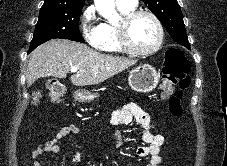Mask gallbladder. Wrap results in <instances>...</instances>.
<instances>
[{
    "instance_id": "bac80fb5",
    "label": "gallbladder",
    "mask_w": 227,
    "mask_h": 166,
    "mask_svg": "<svg viewBox=\"0 0 227 166\" xmlns=\"http://www.w3.org/2000/svg\"><path fill=\"white\" fill-rule=\"evenodd\" d=\"M40 97H41V94L39 91L32 92V99L34 100V104L39 102Z\"/></svg>"
}]
</instances>
